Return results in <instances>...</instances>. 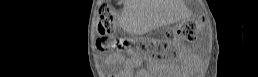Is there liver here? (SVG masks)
Masks as SVG:
<instances>
[{
  "instance_id": "6515ba94",
  "label": "liver",
  "mask_w": 258,
  "mask_h": 77,
  "mask_svg": "<svg viewBox=\"0 0 258 77\" xmlns=\"http://www.w3.org/2000/svg\"><path fill=\"white\" fill-rule=\"evenodd\" d=\"M139 2L138 0H127L125 4L128 5V13L126 14V17L124 18L125 20L128 18V16L132 19H135L138 17L141 13L142 10L139 7ZM177 19V18H174Z\"/></svg>"
}]
</instances>
